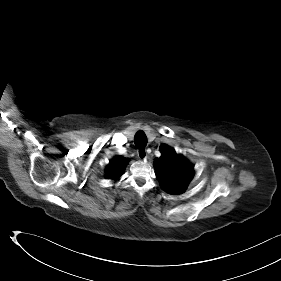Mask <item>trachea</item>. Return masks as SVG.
<instances>
[{"mask_svg": "<svg viewBox=\"0 0 281 281\" xmlns=\"http://www.w3.org/2000/svg\"><path fill=\"white\" fill-rule=\"evenodd\" d=\"M134 143L137 147H145L147 145V137L143 131H138L134 137Z\"/></svg>", "mask_w": 281, "mask_h": 281, "instance_id": "1", "label": "trachea"}]
</instances>
